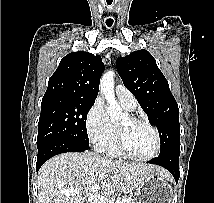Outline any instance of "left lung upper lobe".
<instances>
[{
    "instance_id": "left-lung-upper-lobe-1",
    "label": "left lung upper lobe",
    "mask_w": 214,
    "mask_h": 203,
    "mask_svg": "<svg viewBox=\"0 0 214 203\" xmlns=\"http://www.w3.org/2000/svg\"><path fill=\"white\" fill-rule=\"evenodd\" d=\"M117 71L146 112L149 122L156 125L161 141L159 155L179 151L178 104L154 57L147 50L134 51L118 58Z\"/></svg>"
}]
</instances>
